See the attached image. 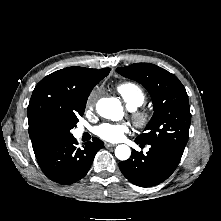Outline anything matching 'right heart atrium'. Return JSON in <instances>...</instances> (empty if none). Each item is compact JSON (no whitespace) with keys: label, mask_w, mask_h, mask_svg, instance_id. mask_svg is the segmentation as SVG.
I'll list each match as a JSON object with an SVG mask.
<instances>
[{"label":"right heart atrium","mask_w":221,"mask_h":221,"mask_svg":"<svg viewBox=\"0 0 221 221\" xmlns=\"http://www.w3.org/2000/svg\"><path fill=\"white\" fill-rule=\"evenodd\" d=\"M95 99H96V93L92 92L90 96L88 97L87 103H86V108L87 110H92L95 104Z\"/></svg>","instance_id":"obj_1"}]
</instances>
